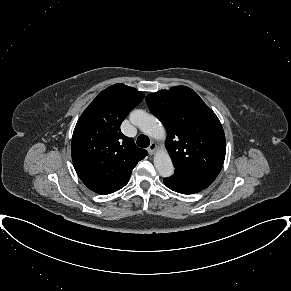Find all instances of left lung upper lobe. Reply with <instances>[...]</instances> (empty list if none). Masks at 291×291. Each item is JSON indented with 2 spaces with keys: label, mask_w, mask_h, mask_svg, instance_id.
<instances>
[{
  "label": "left lung upper lobe",
  "mask_w": 291,
  "mask_h": 291,
  "mask_svg": "<svg viewBox=\"0 0 291 291\" xmlns=\"http://www.w3.org/2000/svg\"><path fill=\"white\" fill-rule=\"evenodd\" d=\"M146 102L166 128V148L175 170L217 177L225 159V135L199 95L176 86L148 95Z\"/></svg>",
  "instance_id": "obj_1"
}]
</instances>
